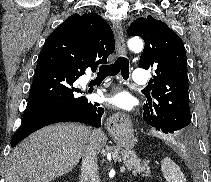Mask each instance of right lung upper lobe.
<instances>
[{"mask_svg":"<svg viewBox=\"0 0 211 182\" xmlns=\"http://www.w3.org/2000/svg\"><path fill=\"white\" fill-rule=\"evenodd\" d=\"M61 25L66 26L76 43H79L82 54L95 68L99 63H106L107 57L115 49L110 26L96 13L74 14Z\"/></svg>","mask_w":211,"mask_h":182,"instance_id":"right-lung-upper-lobe-1","label":"right lung upper lobe"}]
</instances>
